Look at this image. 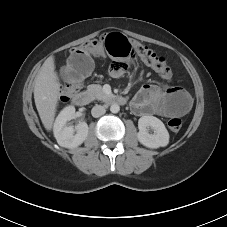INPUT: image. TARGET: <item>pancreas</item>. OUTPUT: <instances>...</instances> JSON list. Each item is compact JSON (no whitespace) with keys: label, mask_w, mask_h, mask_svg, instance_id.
<instances>
[{"label":"pancreas","mask_w":227,"mask_h":227,"mask_svg":"<svg viewBox=\"0 0 227 227\" xmlns=\"http://www.w3.org/2000/svg\"><path fill=\"white\" fill-rule=\"evenodd\" d=\"M88 91L98 100L105 101L108 98V95L103 92L101 85H90L88 86Z\"/></svg>","instance_id":"obj_1"}]
</instances>
